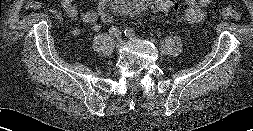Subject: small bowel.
Wrapping results in <instances>:
<instances>
[{
  "label": "small bowel",
  "instance_id": "1",
  "mask_svg": "<svg viewBox=\"0 0 253 131\" xmlns=\"http://www.w3.org/2000/svg\"><path fill=\"white\" fill-rule=\"evenodd\" d=\"M63 13L70 19H79L85 24L92 25V30L95 32L100 31L101 26L98 21L101 14L108 10L110 0H99L96 9L86 10L80 12L73 0H59ZM214 0H185L187 8L185 12L177 18L178 22L196 25L204 20L206 17L205 8L211 5ZM29 7L35 6L36 3L30 1L27 3ZM51 13L56 18H61V11L53 9ZM73 35H79L80 29L73 28L71 30Z\"/></svg>",
  "mask_w": 253,
  "mask_h": 131
}]
</instances>
